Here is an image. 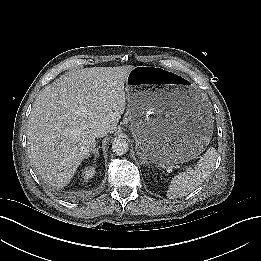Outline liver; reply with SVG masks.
Returning a JSON list of instances; mask_svg holds the SVG:
<instances>
[{
  "instance_id": "1",
  "label": "liver",
  "mask_w": 261,
  "mask_h": 261,
  "mask_svg": "<svg viewBox=\"0 0 261 261\" xmlns=\"http://www.w3.org/2000/svg\"><path fill=\"white\" fill-rule=\"evenodd\" d=\"M134 68L73 70L40 91L28 119L29 158L45 182L66 186L95 148L93 127L113 133L126 109L125 82Z\"/></svg>"
}]
</instances>
